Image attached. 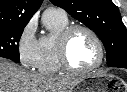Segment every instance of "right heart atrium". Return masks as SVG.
<instances>
[{
    "instance_id": "d8ad5b80",
    "label": "right heart atrium",
    "mask_w": 127,
    "mask_h": 92,
    "mask_svg": "<svg viewBox=\"0 0 127 92\" xmlns=\"http://www.w3.org/2000/svg\"><path fill=\"white\" fill-rule=\"evenodd\" d=\"M20 64L28 69L36 68L38 62V40L35 26L28 23L21 31L16 44Z\"/></svg>"
}]
</instances>
